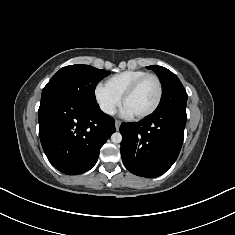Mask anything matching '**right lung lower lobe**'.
I'll return each instance as SVG.
<instances>
[{
  "instance_id": "right-lung-lower-lobe-1",
  "label": "right lung lower lobe",
  "mask_w": 235,
  "mask_h": 235,
  "mask_svg": "<svg viewBox=\"0 0 235 235\" xmlns=\"http://www.w3.org/2000/svg\"><path fill=\"white\" fill-rule=\"evenodd\" d=\"M38 119L40 141L48 160L67 175L90 170L100 148L115 132V120L102 112L97 102L42 100Z\"/></svg>"
}]
</instances>
